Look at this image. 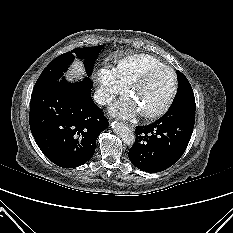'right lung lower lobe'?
<instances>
[{"label": "right lung lower lobe", "instance_id": "obj_1", "mask_svg": "<svg viewBox=\"0 0 233 233\" xmlns=\"http://www.w3.org/2000/svg\"><path fill=\"white\" fill-rule=\"evenodd\" d=\"M93 83H56L33 91L29 123L32 135L54 164L63 168L83 165L95 152L96 139L108 120L91 98Z\"/></svg>", "mask_w": 233, "mask_h": 233}]
</instances>
